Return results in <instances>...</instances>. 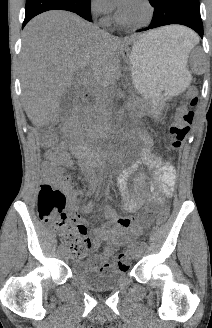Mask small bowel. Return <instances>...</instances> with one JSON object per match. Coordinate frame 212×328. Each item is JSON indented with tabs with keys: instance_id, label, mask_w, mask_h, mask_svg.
<instances>
[{
	"instance_id": "small-bowel-1",
	"label": "small bowel",
	"mask_w": 212,
	"mask_h": 328,
	"mask_svg": "<svg viewBox=\"0 0 212 328\" xmlns=\"http://www.w3.org/2000/svg\"><path fill=\"white\" fill-rule=\"evenodd\" d=\"M142 138L145 147L142 150L141 159L131 168L121 172L117 180V189L123 208L127 212L136 213V215L122 217L115 209L103 203L101 209L109 224L96 228L93 239L91 241L88 239L89 246L87 249L91 246H102L101 252L89 259L91 268L100 273H107L116 268V264L110 262L109 258L117 246L123 242H132L139 237L151 221L154 206L164 204L165 199L170 198L173 193L176 181L174 166L154 155L149 148V138L144 134ZM140 164L146 165L158 176L160 180L159 196H148L142 191L141 188L145 182L143 174L136 176L135 188L133 191L129 190V177ZM42 166L45 177L53 181L65 194L72 221L85 228L86 223L82 214L90 213L91 204L87 203L82 207L80 206L87 193L72 187L71 179L66 170L73 166V160L67 152L65 144L61 143L54 149L47 150ZM84 256L85 253L78 258Z\"/></svg>"
}]
</instances>
